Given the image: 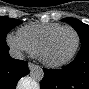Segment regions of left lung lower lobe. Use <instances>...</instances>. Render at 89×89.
Returning <instances> with one entry per match:
<instances>
[{"label": "left lung lower lobe", "mask_w": 89, "mask_h": 89, "mask_svg": "<svg viewBox=\"0 0 89 89\" xmlns=\"http://www.w3.org/2000/svg\"><path fill=\"white\" fill-rule=\"evenodd\" d=\"M41 89H89V44L81 45L76 58L62 69H43Z\"/></svg>", "instance_id": "obj_1"}]
</instances>
